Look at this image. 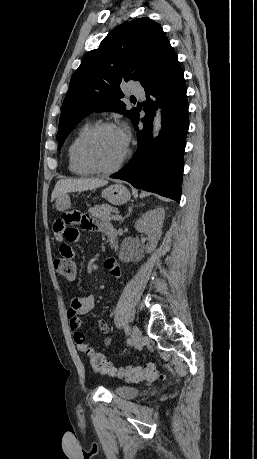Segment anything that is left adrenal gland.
Segmentation results:
<instances>
[{
    "label": "left adrenal gland",
    "instance_id": "obj_1",
    "mask_svg": "<svg viewBox=\"0 0 257 459\" xmlns=\"http://www.w3.org/2000/svg\"><path fill=\"white\" fill-rule=\"evenodd\" d=\"M132 210H133V208H132V207H129V212H128V214H127L126 216H124V217L121 219L120 224L125 220V218H127V217L131 214Z\"/></svg>",
    "mask_w": 257,
    "mask_h": 459
}]
</instances>
